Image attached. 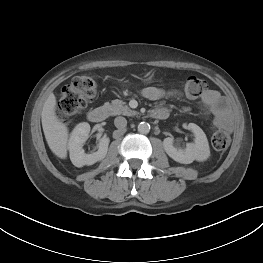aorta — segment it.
I'll use <instances>...</instances> for the list:
<instances>
[{
    "label": "aorta",
    "mask_w": 263,
    "mask_h": 263,
    "mask_svg": "<svg viewBox=\"0 0 263 263\" xmlns=\"http://www.w3.org/2000/svg\"><path fill=\"white\" fill-rule=\"evenodd\" d=\"M150 131V124L147 122H141L138 125V132L141 134H148Z\"/></svg>",
    "instance_id": "aorta-1"
}]
</instances>
